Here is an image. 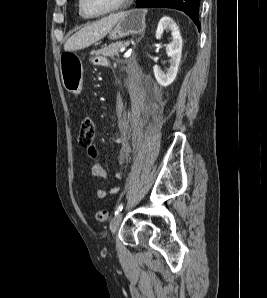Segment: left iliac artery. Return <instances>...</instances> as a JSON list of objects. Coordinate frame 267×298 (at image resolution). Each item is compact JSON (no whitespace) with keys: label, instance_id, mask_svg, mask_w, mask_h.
Segmentation results:
<instances>
[{"label":"left iliac artery","instance_id":"left-iliac-artery-1","mask_svg":"<svg viewBox=\"0 0 267 298\" xmlns=\"http://www.w3.org/2000/svg\"><path fill=\"white\" fill-rule=\"evenodd\" d=\"M122 209H123V203H121V204L117 207V209H116V211H115V215L119 214V212H121Z\"/></svg>","mask_w":267,"mask_h":298}]
</instances>
